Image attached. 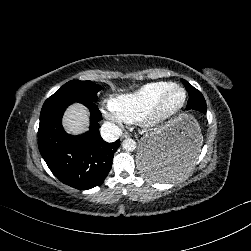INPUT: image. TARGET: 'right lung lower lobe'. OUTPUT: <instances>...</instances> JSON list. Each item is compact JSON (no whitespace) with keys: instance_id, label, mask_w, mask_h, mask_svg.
<instances>
[{"instance_id":"98d812e1","label":"right lung lower lobe","mask_w":251,"mask_h":251,"mask_svg":"<svg viewBox=\"0 0 251 251\" xmlns=\"http://www.w3.org/2000/svg\"><path fill=\"white\" fill-rule=\"evenodd\" d=\"M84 104L91 112L90 130L80 136L67 134L61 124L65 109ZM101 113L94 102L73 99L45 101L38 129V147L51 172L63 183L79 190L99 186L108 175L120 140L104 141L99 133Z\"/></svg>"}]
</instances>
